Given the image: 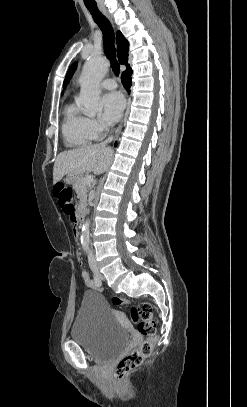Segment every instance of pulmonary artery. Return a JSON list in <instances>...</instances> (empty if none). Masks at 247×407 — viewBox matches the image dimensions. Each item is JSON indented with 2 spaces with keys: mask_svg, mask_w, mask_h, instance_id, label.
Wrapping results in <instances>:
<instances>
[{
  "mask_svg": "<svg viewBox=\"0 0 247 407\" xmlns=\"http://www.w3.org/2000/svg\"><path fill=\"white\" fill-rule=\"evenodd\" d=\"M101 87L104 89L111 90V89H115L117 87V83L115 82V80H113L111 78H107L101 82Z\"/></svg>",
  "mask_w": 247,
  "mask_h": 407,
  "instance_id": "obj_1",
  "label": "pulmonary artery"
}]
</instances>
